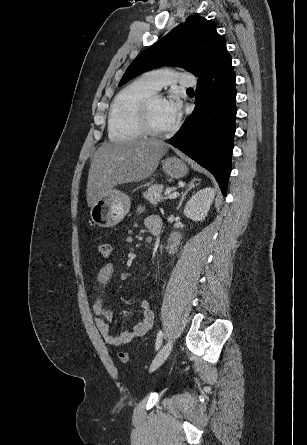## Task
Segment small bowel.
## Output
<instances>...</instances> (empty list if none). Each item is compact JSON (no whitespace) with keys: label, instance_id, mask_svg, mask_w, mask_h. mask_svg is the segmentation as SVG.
Returning a JSON list of instances; mask_svg holds the SVG:
<instances>
[{"label":"small bowel","instance_id":"1","mask_svg":"<svg viewBox=\"0 0 307 445\" xmlns=\"http://www.w3.org/2000/svg\"><path fill=\"white\" fill-rule=\"evenodd\" d=\"M147 229L153 234L157 235L161 231V219L156 215H150L145 220ZM115 271L113 263L105 264L97 274V282L99 289H103L105 285L111 280ZM140 308L142 310V319L131 329L118 336L110 332V322L112 313L104 307V301L101 293H99L93 303L92 313L95 316L96 326L101 333L104 341L112 346H121L128 344L135 339L145 335L153 326L154 314L150 308V304L146 299L140 301Z\"/></svg>","mask_w":307,"mask_h":445}]
</instances>
